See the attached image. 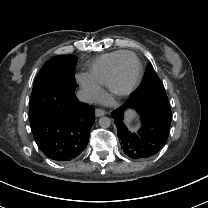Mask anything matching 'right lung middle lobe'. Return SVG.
<instances>
[{"label":"right lung middle lobe","instance_id":"obj_1","mask_svg":"<svg viewBox=\"0 0 208 208\" xmlns=\"http://www.w3.org/2000/svg\"><path fill=\"white\" fill-rule=\"evenodd\" d=\"M77 58L73 55L55 56L48 60L38 73L33 87L29 117L35 120L41 116L48 97L61 98L75 94L77 83L74 69Z\"/></svg>","mask_w":208,"mask_h":208}]
</instances>
